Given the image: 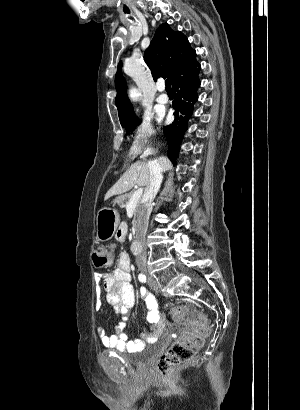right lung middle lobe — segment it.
Listing matches in <instances>:
<instances>
[{"label": "right lung middle lobe", "mask_w": 300, "mask_h": 410, "mask_svg": "<svg viewBox=\"0 0 300 410\" xmlns=\"http://www.w3.org/2000/svg\"><path fill=\"white\" fill-rule=\"evenodd\" d=\"M140 124V121L137 120L135 117L129 120H126L125 122H122L121 125L123 127H126L127 131L134 130V128Z\"/></svg>", "instance_id": "right-lung-middle-lobe-1"}]
</instances>
